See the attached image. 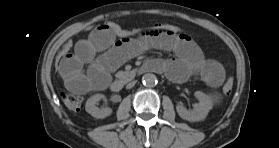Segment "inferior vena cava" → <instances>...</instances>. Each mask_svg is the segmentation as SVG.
I'll list each match as a JSON object with an SVG mask.
<instances>
[{"label": "inferior vena cava", "instance_id": "obj_1", "mask_svg": "<svg viewBox=\"0 0 279 148\" xmlns=\"http://www.w3.org/2000/svg\"><path fill=\"white\" fill-rule=\"evenodd\" d=\"M135 84H136V81H132V82L127 84L126 88L130 89V88L134 87Z\"/></svg>", "mask_w": 279, "mask_h": 148}]
</instances>
